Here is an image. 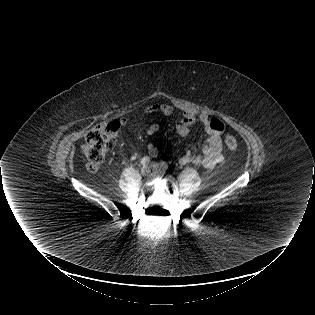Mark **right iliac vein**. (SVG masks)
Instances as JSON below:
<instances>
[{"mask_svg":"<svg viewBox=\"0 0 315 315\" xmlns=\"http://www.w3.org/2000/svg\"><path fill=\"white\" fill-rule=\"evenodd\" d=\"M141 173H142V175H144V176L150 175V173H151L150 167H148V166H143L142 169H141Z\"/></svg>","mask_w":315,"mask_h":315,"instance_id":"obj_1","label":"right iliac vein"}]
</instances>
